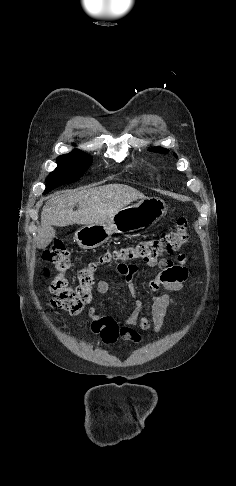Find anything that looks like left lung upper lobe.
<instances>
[{
  "mask_svg": "<svg viewBox=\"0 0 236 486\" xmlns=\"http://www.w3.org/2000/svg\"><path fill=\"white\" fill-rule=\"evenodd\" d=\"M149 151L165 154V153H168L169 150L165 149V148H161V147H154V148L149 149ZM174 156L177 157L176 154H174Z\"/></svg>",
  "mask_w": 236,
  "mask_h": 486,
  "instance_id": "obj_1",
  "label": "left lung upper lobe"
}]
</instances>
